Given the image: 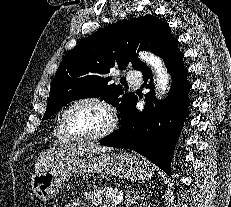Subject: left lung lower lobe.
<instances>
[{
	"label": "left lung lower lobe",
	"instance_id": "0a47b994",
	"mask_svg": "<svg viewBox=\"0 0 231 207\" xmlns=\"http://www.w3.org/2000/svg\"><path fill=\"white\" fill-rule=\"evenodd\" d=\"M160 57L173 77L170 96L164 101L155 98L152 72L146 66L141 72L146 88L151 91L146 94L144 110L140 112L136 109V97L120 119V128L100 140V144L134 150L170 175L174 146L189 105L187 94L190 85L186 80L187 69L183 66L184 56L178 50L177 40Z\"/></svg>",
	"mask_w": 231,
	"mask_h": 207
}]
</instances>
